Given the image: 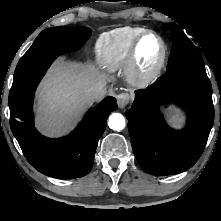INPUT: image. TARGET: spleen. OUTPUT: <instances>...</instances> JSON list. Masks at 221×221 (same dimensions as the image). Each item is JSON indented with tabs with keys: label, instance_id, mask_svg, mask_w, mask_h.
Instances as JSON below:
<instances>
[{
	"label": "spleen",
	"instance_id": "1",
	"mask_svg": "<svg viewBox=\"0 0 221 221\" xmlns=\"http://www.w3.org/2000/svg\"><path fill=\"white\" fill-rule=\"evenodd\" d=\"M179 120H180L179 117H173V118L171 119V121L174 122V123H177Z\"/></svg>",
	"mask_w": 221,
	"mask_h": 221
}]
</instances>
